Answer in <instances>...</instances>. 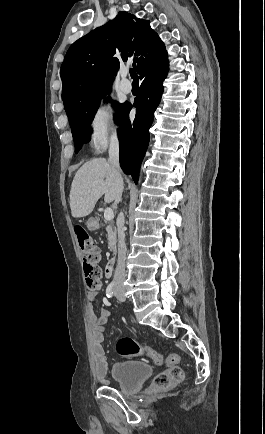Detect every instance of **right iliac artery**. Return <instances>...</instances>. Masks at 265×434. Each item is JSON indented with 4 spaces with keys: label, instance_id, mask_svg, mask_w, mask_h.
<instances>
[{
    "label": "right iliac artery",
    "instance_id": "obj_1",
    "mask_svg": "<svg viewBox=\"0 0 265 434\" xmlns=\"http://www.w3.org/2000/svg\"><path fill=\"white\" fill-rule=\"evenodd\" d=\"M114 294V283H110L106 289V295L108 298L112 297Z\"/></svg>",
    "mask_w": 265,
    "mask_h": 434
}]
</instances>
